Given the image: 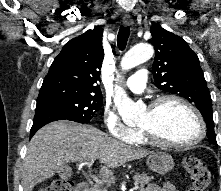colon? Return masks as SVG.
I'll use <instances>...</instances> for the list:
<instances>
[{"label": "colon", "instance_id": "5ec220e1", "mask_svg": "<svg viewBox=\"0 0 221 191\" xmlns=\"http://www.w3.org/2000/svg\"><path fill=\"white\" fill-rule=\"evenodd\" d=\"M183 166L191 177V184L187 191H207L211 172L206 163L199 157L187 156L183 159ZM73 181L70 178L54 180L49 187L42 191H72Z\"/></svg>", "mask_w": 221, "mask_h": 191}]
</instances>
